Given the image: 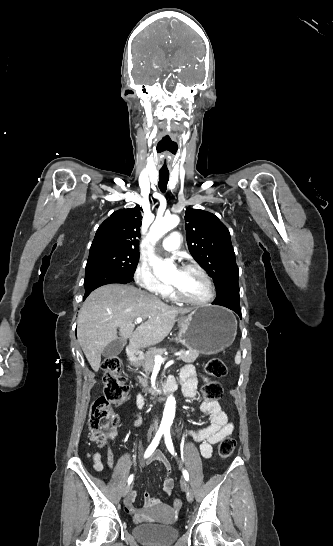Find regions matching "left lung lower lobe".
<instances>
[{"mask_svg":"<svg viewBox=\"0 0 333 546\" xmlns=\"http://www.w3.org/2000/svg\"><path fill=\"white\" fill-rule=\"evenodd\" d=\"M212 304L227 307L236 312L241 318V309L239 304V286H234L226 290L225 294L217 297Z\"/></svg>","mask_w":333,"mask_h":546,"instance_id":"obj_1","label":"left lung lower lobe"}]
</instances>
